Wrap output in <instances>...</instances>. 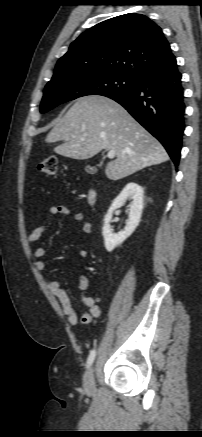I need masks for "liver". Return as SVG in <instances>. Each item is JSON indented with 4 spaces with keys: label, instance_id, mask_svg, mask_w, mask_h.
Returning <instances> with one entry per match:
<instances>
[{
    "label": "liver",
    "instance_id": "6515ba94",
    "mask_svg": "<svg viewBox=\"0 0 202 437\" xmlns=\"http://www.w3.org/2000/svg\"><path fill=\"white\" fill-rule=\"evenodd\" d=\"M45 141H64L54 151L77 160L89 159L103 149L115 151V159L105 169L107 178L114 181L169 159L159 141L120 104L98 95L77 99Z\"/></svg>",
    "mask_w": 202,
    "mask_h": 437
}]
</instances>
